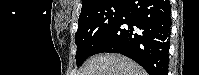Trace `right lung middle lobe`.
<instances>
[{"instance_id": "1", "label": "right lung middle lobe", "mask_w": 199, "mask_h": 75, "mask_svg": "<svg viewBox=\"0 0 199 75\" xmlns=\"http://www.w3.org/2000/svg\"><path fill=\"white\" fill-rule=\"evenodd\" d=\"M126 3L127 0H103L81 10L78 30L75 34L78 66H81L89 56L93 55L96 47L121 16Z\"/></svg>"}]
</instances>
